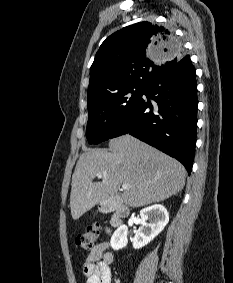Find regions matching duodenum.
I'll return each instance as SVG.
<instances>
[{
	"mask_svg": "<svg viewBox=\"0 0 233 283\" xmlns=\"http://www.w3.org/2000/svg\"><path fill=\"white\" fill-rule=\"evenodd\" d=\"M103 211L112 213L110 223L115 228L121 226L123 220L129 215V208L115 198L104 204Z\"/></svg>",
	"mask_w": 233,
	"mask_h": 283,
	"instance_id": "1",
	"label": "duodenum"
}]
</instances>
